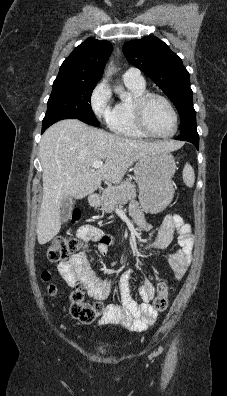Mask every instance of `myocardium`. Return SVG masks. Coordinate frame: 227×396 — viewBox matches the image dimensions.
<instances>
[{
    "instance_id": "1",
    "label": "myocardium",
    "mask_w": 227,
    "mask_h": 396,
    "mask_svg": "<svg viewBox=\"0 0 227 396\" xmlns=\"http://www.w3.org/2000/svg\"><path fill=\"white\" fill-rule=\"evenodd\" d=\"M152 98H158V99L162 100L167 105L169 110L171 111V113L173 115V119H174V128H173L172 132H170L168 134H158L149 128V126L146 122V118H145V111H146V106H147L148 102ZM133 112H134V117H135L137 126L146 135H148L150 137L166 139V138L173 137L177 133V130L179 127V117H178L177 110H176L175 106L173 105V103L163 94H160L157 92L146 91L145 93L138 96L134 100Z\"/></svg>"
}]
</instances>
